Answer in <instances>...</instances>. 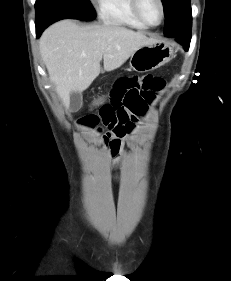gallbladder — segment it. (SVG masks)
Segmentation results:
<instances>
[{"instance_id":"obj_1","label":"gallbladder","mask_w":231,"mask_h":281,"mask_svg":"<svg viewBox=\"0 0 231 281\" xmlns=\"http://www.w3.org/2000/svg\"><path fill=\"white\" fill-rule=\"evenodd\" d=\"M82 105V95L79 92H72L70 94V110L76 112Z\"/></svg>"}]
</instances>
